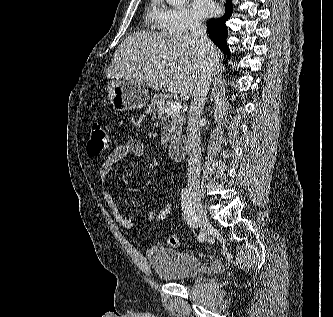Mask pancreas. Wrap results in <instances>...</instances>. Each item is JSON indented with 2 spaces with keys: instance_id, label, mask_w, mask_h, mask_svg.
I'll return each instance as SVG.
<instances>
[{
  "instance_id": "cf45deb5",
  "label": "pancreas",
  "mask_w": 333,
  "mask_h": 317,
  "mask_svg": "<svg viewBox=\"0 0 333 317\" xmlns=\"http://www.w3.org/2000/svg\"><path fill=\"white\" fill-rule=\"evenodd\" d=\"M171 102L169 96L165 94H156L151 99L148 112L153 114V118H168L164 131L161 134V141L166 146L172 139L179 136L182 132V125L185 123V117L182 111L166 114L165 108Z\"/></svg>"
}]
</instances>
